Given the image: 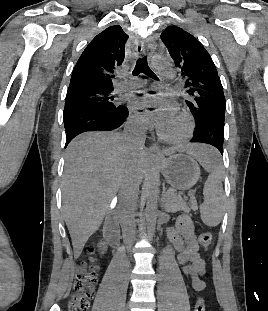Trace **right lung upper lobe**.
<instances>
[{
  "label": "right lung upper lobe",
  "instance_id": "right-lung-upper-lobe-1",
  "mask_svg": "<svg viewBox=\"0 0 268 311\" xmlns=\"http://www.w3.org/2000/svg\"><path fill=\"white\" fill-rule=\"evenodd\" d=\"M127 39L128 35L120 25L98 34L77 61L69 89L78 86L113 89V74L124 60Z\"/></svg>",
  "mask_w": 268,
  "mask_h": 311
}]
</instances>
